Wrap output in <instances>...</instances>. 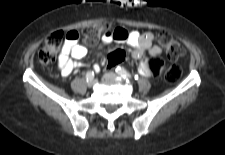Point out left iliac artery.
I'll list each match as a JSON object with an SVG mask.
<instances>
[{"mask_svg": "<svg viewBox=\"0 0 225 155\" xmlns=\"http://www.w3.org/2000/svg\"><path fill=\"white\" fill-rule=\"evenodd\" d=\"M115 71L121 77H124V78H127V79H131L130 73L128 71H126L123 67H119L118 66Z\"/></svg>", "mask_w": 225, "mask_h": 155, "instance_id": "1", "label": "left iliac artery"}]
</instances>
